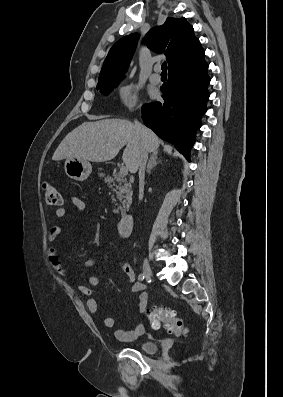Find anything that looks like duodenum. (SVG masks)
<instances>
[{
	"instance_id": "1",
	"label": "duodenum",
	"mask_w": 283,
	"mask_h": 397,
	"mask_svg": "<svg viewBox=\"0 0 283 397\" xmlns=\"http://www.w3.org/2000/svg\"><path fill=\"white\" fill-rule=\"evenodd\" d=\"M117 228L121 236H129L133 228V216L130 213L124 214L119 219Z\"/></svg>"
}]
</instances>
